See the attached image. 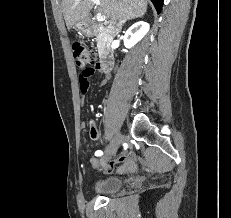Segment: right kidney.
I'll use <instances>...</instances> for the list:
<instances>
[{
  "label": "right kidney",
  "mask_w": 231,
  "mask_h": 218,
  "mask_svg": "<svg viewBox=\"0 0 231 218\" xmlns=\"http://www.w3.org/2000/svg\"><path fill=\"white\" fill-rule=\"evenodd\" d=\"M149 28V24L144 21H139L133 24L125 33L124 45L127 48L134 46L146 35V33L149 31Z\"/></svg>",
  "instance_id": "obj_1"
}]
</instances>
